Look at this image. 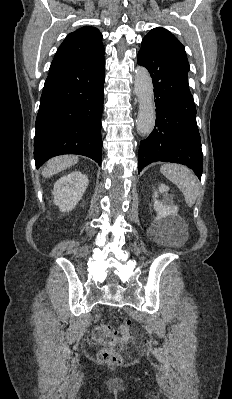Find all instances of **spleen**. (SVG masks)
Returning a JSON list of instances; mask_svg holds the SVG:
<instances>
[{"label":"spleen","mask_w":232,"mask_h":399,"mask_svg":"<svg viewBox=\"0 0 232 399\" xmlns=\"http://www.w3.org/2000/svg\"><path fill=\"white\" fill-rule=\"evenodd\" d=\"M160 172L167 180L176 184L177 188L181 190L187 205L192 207L197 200L199 192L197 178L192 170H189L186 166H179V164H164V166H161Z\"/></svg>","instance_id":"spleen-1"}]
</instances>
